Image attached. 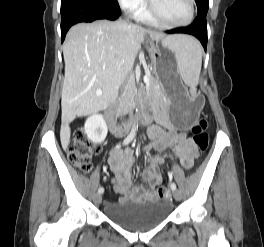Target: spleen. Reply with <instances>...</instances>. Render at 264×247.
Returning a JSON list of instances; mask_svg holds the SVG:
<instances>
[{
	"mask_svg": "<svg viewBox=\"0 0 264 247\" xmlns=\"http://www.w3.org/2000/svg\"><path fill=\"white\" fill-rule=\"evenodd\" d=\"M170 50L175 54L177 68L184 83L195 96L202 66L200 44L192 37L179 35L171 42Z\"/></svg>",
	"mask_w": 264,
	"mask_h": 247,
	"instance_id": "1",
	"label": "spleen"
}]
</instances>
